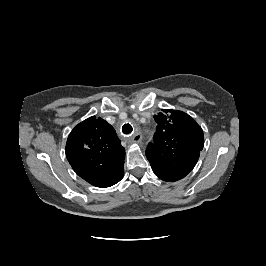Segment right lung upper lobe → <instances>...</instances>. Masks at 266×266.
<instances>
[{
  "instance_id": "cb5924a9",
  "label": "right lung upper lobe",
  "mask_w": 266,
  "mask_h": 266,
  "mask_svg": "<svg viewBox=\"0 0 266 266\" xmlns=\"http://www.w3.org/2000/svg\"><path fill=\"white\" fill-rule=\"evenodd\" d=\"M66 157L77 175L93 186L110 187L123 178L125 149L114 128L100 117H89L74 127Z\"/></svg>"
}]
</instances>
